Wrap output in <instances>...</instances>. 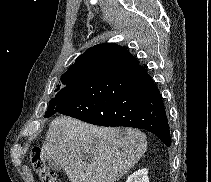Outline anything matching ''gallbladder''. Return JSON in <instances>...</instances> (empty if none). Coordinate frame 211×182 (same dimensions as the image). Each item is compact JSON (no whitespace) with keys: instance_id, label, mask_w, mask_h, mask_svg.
Returning <instances> with one entry per match:
<instances>
[{"instance_id":"bac80fb5","label":"gallbladder","mask_w":211,"mask_h":182,"mask_svg":"<svg viewBox=\"0 0 211 182\" xmlns=\"http://www.w3.org/2000/svg\"><path fill=\"white\" fill-rule=\"evenodd\" d=\"M84 158L88 160V159L91 158V155L89 153H85ZM47 163H48V166L53 170H60L61 169L60 165L52 159H47Z\"/></svg>"}]
</instances>
